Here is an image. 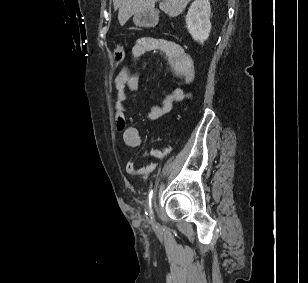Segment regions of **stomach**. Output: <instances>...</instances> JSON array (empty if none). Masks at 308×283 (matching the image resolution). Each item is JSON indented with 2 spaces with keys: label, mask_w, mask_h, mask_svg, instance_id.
Listing matches in <instances>:
<instances>
[{
  "label": "stomach",
  "mask_w": 308,
  "mask_h": 283,
  "mask_svg": "<svg viewBox=\"0 0 308 283\" xmlns=\"http://www.w3.org/2000/svg\"><path fill=\"white\" fill-rule=\"evenodd\" d=\"M133 21L138 26H150L153 24V15L148 11L140 12L134 15Z\"/></svg>",
  "instance_id": "1"
}]
</instances>
